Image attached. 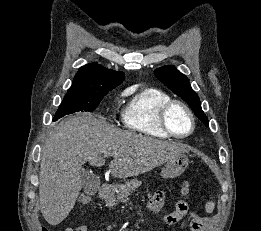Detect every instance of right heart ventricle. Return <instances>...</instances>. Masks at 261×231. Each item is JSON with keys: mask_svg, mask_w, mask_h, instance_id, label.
<instances>
[{"mask_svg": "<svg viewBox=\"0 0 261 231\" xmlns=\"http://www.w3.org/2000/svg\"><path fill=\"white\" fill-rule=\"evenodd\" d=\"M130 93V91H127ZM172 98L158 89H144L135 93L121 112L124 126L140 134L157 138H170L160 126L161 108Z\"/></svg>", "mask_w": 261, "mask_h": 231, "instance_id": "right-heart-ventricle-1", "label": "right heart ventricle"}]
</instances>
